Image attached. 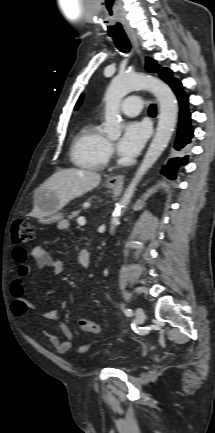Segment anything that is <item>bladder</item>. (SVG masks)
<instances>
[{
    "label": "bladder",
    "mask_w": 215,
    "mask_h": 433,
    "mask_svg": "<svg viewBox=\"0 0 215 433\" xmlns=\"http://www.w3.org/2000/svg\"><path fill=\"white\" fill-rule=\"evenodd\" d=\"M104 356L112 360H116V365L121 368H129L131 361L119 357L113 350H106Z\"/></svg>",
    "instance_id": "obj_1"
}]
</instances>
